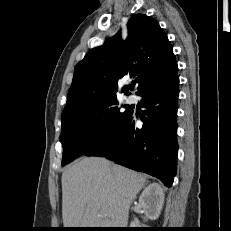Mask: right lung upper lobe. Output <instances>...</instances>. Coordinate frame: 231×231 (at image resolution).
<instances>
[{
	"label": "right lung upper lobe",
	"mask_w": 231,
	"mask_h": 231,
	"mask_svg": "<svg viewBox=\"0 0 231 231\" xmlns=\"http://www.w3.org/2000/svg\"><path fill=\"white\" fill-rule=\"evenodd\" d=\"M128 36L121 34L90 50L74 69V76L62 115L96 107L116 99L118 80L126 74L137 76L136 94L144 87L177 75L173 49L159 23L145 14H136L127 23ZM134 85H125L130 94Z\"/></svg>",
	"instance_id": "1"
}]
</instances>
